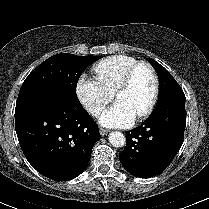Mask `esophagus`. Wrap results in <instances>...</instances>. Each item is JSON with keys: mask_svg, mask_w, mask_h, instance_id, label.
<instances>
[{"mask_svg": "<svg viewBox=\"0 0 209 209\" xmlns=\"http://www.w3.org/2000/svg\"><path fill=\"white\" fill-rule=\"evenodd\" d=\"M108 132H109L108 130L103 129V128H100V134H101V136L107 135Z\"/></svg>", "mask_w": 209, "mask_h": 209, "instance_id": "esophagus-1", "label": "esophagus"}]
</instances>
